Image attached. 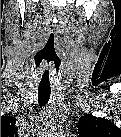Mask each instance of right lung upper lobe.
<instances>
[{"label":"right lung upper lobe","instance_id":"right-lung-upper-lobe-1","mask_svg":"<svg viewBox=\"0 0 121 137\" xmlns=\"http://www.w3.org/2000/svg\"><path fill=\"white\" fill-rule=\"evenodd\" d=\"M15 119L12 116L1 117V135H12L15 132Z\"/></svg>","mask_w":121,"mask_h":137}]
</instances>
